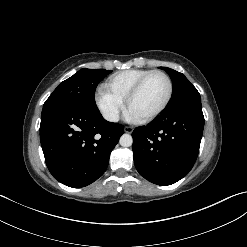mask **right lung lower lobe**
Instances as JSON below:
<instances>
[{
	"label": "right lung lower lobe",
	"mask_w": 247,
	"mask_h": 247,
	"mask_svg": "<svg viewBox=\"0 0 247 247\" xmlns=\"http://www.w3.org/2000/svg\"><path fill=\"white\" fill-rule=\"evenodd\" d=\"M124 127L106 121L98 108L71 103L43 107L40 140L46 165L62 184L80 188L105 172Z\"/></svg>",
	"instance_id": "obj_1"
}]
</instances>
